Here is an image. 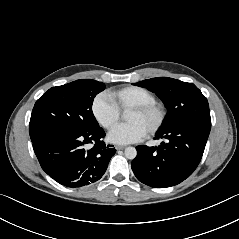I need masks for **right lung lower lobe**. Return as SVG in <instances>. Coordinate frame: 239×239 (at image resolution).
I'll return each mask as SVG.
<instances>
[{
  "label": "right lung lower lobe",
  "instance_id": "1",
  "mask_svg": "<svg viewBox=\"0 0 239 239\" xmlns=\"http://www.w3.org/2000/svg\"><path fill=\"white\" fill-rule=\"evenodd\" d=\"M104 136L99 126L88 131L50 130L32 143L42 169L58 183L75 188L94 183L105 173L116 150L105 145Z\"/></svg>",
  "mask_w": 239,
  "mask_h": 239
}]
</instances>
